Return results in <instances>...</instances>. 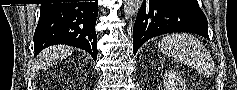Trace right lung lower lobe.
I'll list each match as a JSON object with an SVG mask.
<instances>
[{"label": "right lung lower lobe", "instance_id": "1", "mask_svg": "<svg viewBox=\"0 0 237 90\" xmlns=\"http://www.w3.org/2000/svg\"><path fill=\"white\" fill-rule=\"evenodd\" d=\"M95 2L41 4L34 33L35 56L50 45L66 44L86 50L97 59Z\"/></svg>", "mask_w": 237, "mask_h": 90}]
</instances>
